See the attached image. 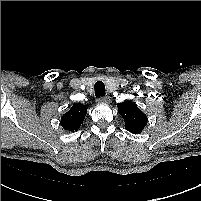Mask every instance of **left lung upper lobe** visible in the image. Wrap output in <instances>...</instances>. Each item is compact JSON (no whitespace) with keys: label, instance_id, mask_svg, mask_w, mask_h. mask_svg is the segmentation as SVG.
I'll use <instances>...</instances> for the list:
<instances>
[{"label":"left lung upper lobe","instance_id":"1","mask_svg":"<svg viewBox=\"0 0 201 201\" xmlns=\"http://www.w3.org/2000/svg\"><path fill=\"white\" fill-rule=\"evenodd\" d=\"M118 112L125 121V127L134 134L140 133L147 125V116L134 102L125 101L117 104Z\"/></svg>","mask_w":201,"mask_h":201}]
</instances>
